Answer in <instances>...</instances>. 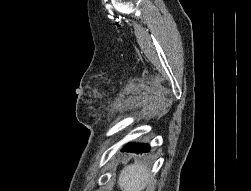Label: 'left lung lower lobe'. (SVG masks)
Returning <instances> with one entry per match:
<instances>
[{
  "mask_svg": "<svg viewBox=\"0 0 251 191\" xmlns=\"http://www.w3.org/2000/svg\"><path fill=\"white\" fill-rule=\"evenodd\" d=\"M149 149H150V147L147 144H135V145L128 144L125 146L123 152L125 151V152H132V153L139 154L141 152L146 153L149 151Z\"/></svg>",
  "mask_w": 251,
  "mask_h": 191,
  "instance_id": "0a47b994",
  "label": "left lung lower lobe"
}]
</instances>
